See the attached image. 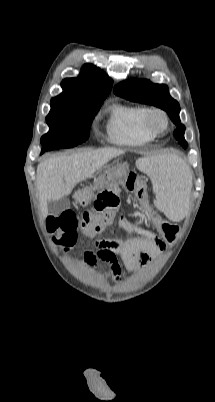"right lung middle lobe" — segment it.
Returning a JSON list of instances; mask_svg holds the SVG:
<instances>
[{
    "mask_svg": "<svg viewBox=\"0 0 215 402\" xmlns=\"http://www.w3.org/2000/svg\"><path fill=\"white\" fill-rule=\"evenodd\" d=\"M105 98L90 101L51 100V111L46 117L50 130L41 137V154L74 147L86 141L92 120Z\"/></svg>",
    "mask_w": 215,
    "mask_h": 402,
    "instance_id": "dd1d6c3e",
    "label": "right lung middle lobe"
}]
</instances>
